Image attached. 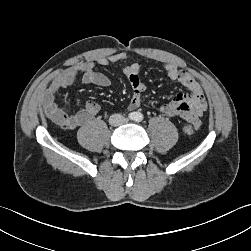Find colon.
I'll list each match as a JSON object with an SVG mask.
<instances>
[{
    "mask_svg": "<svg viewBox=\"0 0 251 251\" xmlns=\"http://www.w3.org/2000/svg\"><path fill=\"white\" fill-rule=\"evenodd\" d=\"M53 121L63 128L71 127V120L69 115L67 114L57 112L53 115ZM184 132L188 135H191L194 132V127L191 125H187L184 127Z\"/></svg>",
    "mask_w": 251,
    "mask_h": 251,
    "instance_id": "5ec220e1",
    "label": "colon"
}]
</instances>
